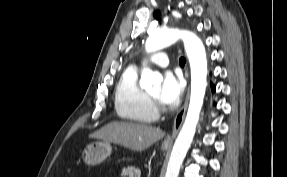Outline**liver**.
Instances as JSON below:
<instances>
[{
  "mask_svg": "<svg viewBox=\"0 0 287 177\" xmlns=\"http://www.w3.org/2000/svg\"><path fill=\"white\" fill-rule=\"evenodd\" d=\"M163 136L164 132L159 128L128 122H110L90 135L91 138L119 144L133 151H143Z\"/></svg>",
  "mask_w": 287,
  "mask_h": 177,
  "instance_id": "6515ba94",
  "label": "liver"
}]
</instances>
